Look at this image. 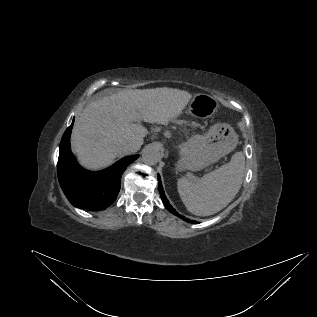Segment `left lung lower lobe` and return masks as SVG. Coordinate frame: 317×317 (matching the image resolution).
Listing matches in <instances>:
<instances>
[{
    "mask_svg": "<svg viewBox=\"0 0 317 317\" xmlns=\"http://www.w3.org/2000/svg\"><path fill=\"white\" fill-rule=\"evenodd\" d=\"M158 183H159V192H160V195H161V198H162V201L165 205V207L174 215L182 218L183 220H185L186 222H189V223H195V221H191V220H188V219H185L184 217H182L167 201V198L164 194V190L162 188V183H161V179H160V176L158 175Z\"/></svg>",
    "mask_w": 317,
    "mask_h": 317,
    "instance_id": "0a47b994",
    "label": "left lung lower lobe"
}]
</instances>
